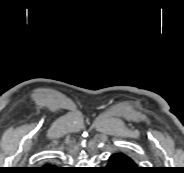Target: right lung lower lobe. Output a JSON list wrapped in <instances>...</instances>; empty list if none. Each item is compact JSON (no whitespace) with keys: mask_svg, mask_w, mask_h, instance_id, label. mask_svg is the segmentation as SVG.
I'll return each mask as SVG.
<instances>
[{"mask_svg":"<svg viewBox=\"0 0 184 173\" xmlns=\"http://www.w3.org/2000/svg\"><path fill=\"white\" fill-rule=\"evenodd\" d=\"M39 172L40 173H63L65 172V170L59 167H42V169Z\"/></svg>","mask_w":184,"mask_h":173,"instance_id":"1","label":"right lung lower lobe"}]
</instances>
